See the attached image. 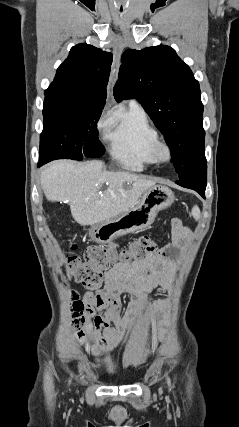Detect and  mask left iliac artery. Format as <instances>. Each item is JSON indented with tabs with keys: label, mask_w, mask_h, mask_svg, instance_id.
<instances>
[{
	"label": "left iliac artery",
	"mask_w": 239,
	"mask_h": 427,
	"mask_svg": "<svg viewBox=\"0 0 239 427\" xmlns=\"http://www.w3.org/2000/svg\"><path fill=\"white\" fill-rule=\"evenodd\" d=\"M167 375V374H166ZM167 383H168V385L170 386L171 385V380H170V378L168 377V375H167Z\"/></svg>",
	"instance_id": "44dca946"
}]
</instances>
